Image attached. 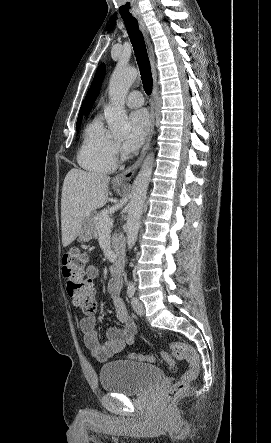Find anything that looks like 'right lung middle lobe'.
I'll return each instance as SVG.
<instances>
[{
  "label": "right lung middle lobe",
  "instance_id": "right-lung-middle-lobe-1",
  "mask_svg": "<svg viewBox=\"0 0 271 443\" xmlns=\"http://www.w3.org/2000/svg\"><path fill=\"white\" fill-rule=\"evenodd\" d=\"M80 123H81V120H78L77 121V130L79 129Z\"/></svg>",
  "mask_w": 271,
  "mask_h": 443
}]
</instances>
